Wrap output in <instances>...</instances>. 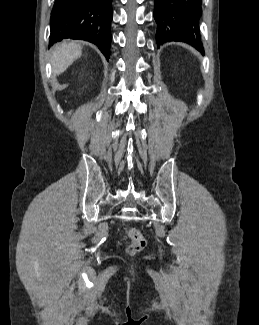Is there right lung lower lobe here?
<instances>
[{
    "instance_id": "right-lung-lower-lobe-1",
    "label": "right lung lower lobe",
    "mask_w": 259,
    "mask_h": 325,
    "mask_svg": "<svg viewBox=\"0 0 259 325\" xmlns=\"http://www.w3.org/2000/svg\"><path fill=\"white\" fill-rule=\"evenodd\" d=\"M112 0H56L51 13L50 43L81 39L110 57Z\"/></svg>"
}]
</instances>
